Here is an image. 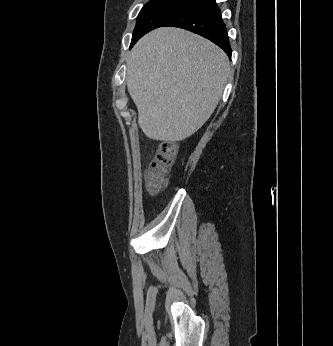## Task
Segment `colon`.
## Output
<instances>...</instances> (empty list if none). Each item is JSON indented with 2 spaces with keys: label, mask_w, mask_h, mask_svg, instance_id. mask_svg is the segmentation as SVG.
Wrapping results in <instances>:
<instances>
[{
  "label": "colon",
  "mask_w": 333,
  "mask_h": 346,
  "mask_svg": "<svg viewBox=\"0 0 333 346\" xmlns=\"http://www.w3.org/2000/svg\"><path fill=\"white\" fill-rule=\"evenodd\" d=\"M176 154L177 146L174 143L160 144L146 175V187L151 195L159 194L166 186Z\"/></svg>",
  "instance_id": "5ec220e1"
}]
</instances>
